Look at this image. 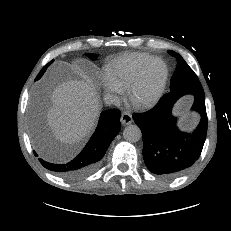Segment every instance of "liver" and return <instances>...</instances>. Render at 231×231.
<instances>
[{"instance_id": "1", "label": "liver", "mask_w": 231, "mask_h": 231, "mask_svg": "<svg viewBox=\"0 0 231 231\" xmlns=\"http://www.w3.org/2000/svg\"><path fill=\"white\" fill-rule=\"evenodd\" d=\"M50 99L51 106L46 119L60 142L73 145L94 130L101 105L97 89L90 79L85 77L83 80L63 82L54 88ZM30 131L36 149L47 155L40 125L34 114L30 121Z\"/></svg>"}]
</instances>
